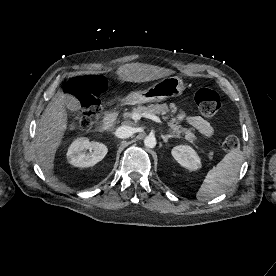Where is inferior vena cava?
<instances>
[{
    "instance_id": "1",
    "label": "inferior vena cava",
    "mask_w": 276,
    "mask_h": 276,
    "mask_svg": "<svg viewBox=\"0 0 276 276\" xmlns=\"http://www.w3.org/2000/svg\"><path fill=\"white\" fill-rule=\"evenodd\" d=\"M134 133V128L131 126L122 125L117 128L115 134L118 138L125 139L132 136Z\"/></svg>"
}]
</instances>
